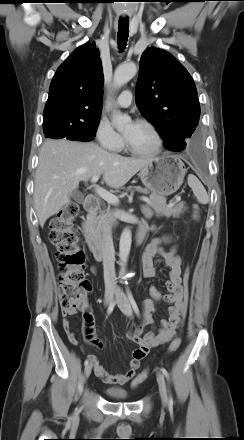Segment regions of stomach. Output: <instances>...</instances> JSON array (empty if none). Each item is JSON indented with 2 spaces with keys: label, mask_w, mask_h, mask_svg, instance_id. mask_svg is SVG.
Returning a JSON list of instances; mask_svg holds the SVG:
<instances>
[{
  "label": "stomach",
  "mask_w": 244,
  "mask_h": 440,
  "mask_svg": "<svg viewBox=\"0 0 244 440\" xmlns=\"http://www.w3.org/2000/svg\"><path fill=\"white\" fill-rule=\"evenodd\" d=\"M185 174L184 163L175 155L165 154L144 166L139 177L153 194L168 196L180 188Z\"/></svg>",
  "instance_id": "0dacf381"
}]
</instances>
